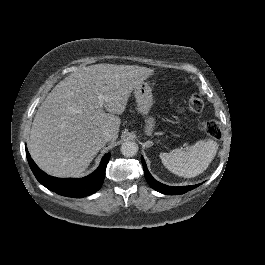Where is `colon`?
I'll return each mask as SVG.
<instances>
[{
  "label": "colon",
  "instance_id": "1",
  "mask_svg": "<svg viewBox=\"0 0 265 265\" xmlns=\"http://www.w3.org/2000/svg\"><path fill=\"white\" fill-rule=\"evenodd\" d=\"M203 100L202 98L194 94L189 98L188 109L192 112H200L203 109ZM201 130L207 133L210 137L218 139L221 137V128L217 121L209 120L203 122L201 125Z\"/></svg>",
  "mask_w": 265,
  "mask_h": 265
}]
</instances>
